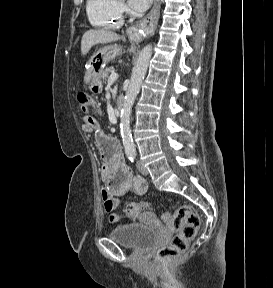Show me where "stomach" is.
<instances>
[{
	"label": "stomach",
	"mask_w": 273,
	"mask_h": 288,
	"mask_svg": "<svg viewBox=\"0 0 273 288\" xmlns=\"http://www.w3.org/2000/svg\"><path fill=\"white\" fill-rule=\"evenodd\" d=\"M121 53V47L117 44L107 45L100 48L88 61V69L85 74V81L90 83V90L93 93L102 91L101 76L103 69L108 62Z\"/></svg>",
	"instance_id": "1"
}]
</instances>
